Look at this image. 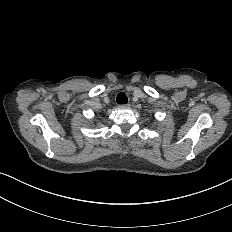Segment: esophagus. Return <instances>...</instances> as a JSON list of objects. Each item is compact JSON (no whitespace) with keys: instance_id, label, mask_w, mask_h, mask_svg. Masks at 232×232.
<instances>
[{"instance_id":"34e87169","label":"esophagus","mask_w":232,"mask_h":232,"mask_svg":"<svg viewBox=\"0 0 232 232\" xmlns=\"http://www.w3.org/2000/svg\"><path fill=\"white\" fill-rule=\"evenodd\" d=\"M119 107H120L121 109H129V108H130V105H129V104H121V105H119Z\"/></svg>"}]
</instances>
